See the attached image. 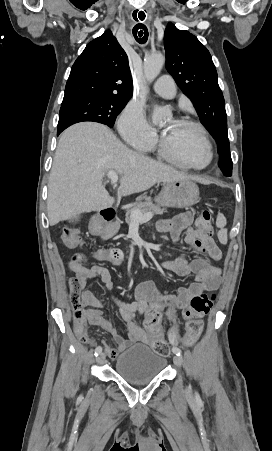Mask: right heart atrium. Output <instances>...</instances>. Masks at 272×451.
Segmentation results:
<instances>
[{"label":"right heart atrium","mask_w":272,"mask_h":451,"mask_svg":"<svg viewBox=\"0 0 272 451\" xmlns=\"http://www.w3.org/2000/svg\"><path fill=\"white\" fill-rule=\"evenodd\" d=\"M118 125L124 139L137 149H146L156 140L155 128L147 120L144 109L136 104L124 109Z\"/></svg>","instance_id":"right-heart-atrium-1"}]
</instances>
